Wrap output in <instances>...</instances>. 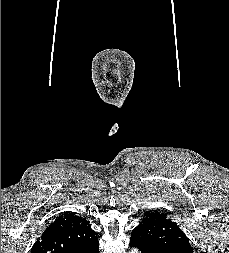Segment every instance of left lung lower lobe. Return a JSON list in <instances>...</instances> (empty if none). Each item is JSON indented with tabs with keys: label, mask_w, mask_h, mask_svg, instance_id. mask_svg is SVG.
I'll return each instance as SVG.
<instances>
[{
	"label": "left lung lower lobe",
	"mask_w": 229,
	"mask_h": 253,
	"mask_svg": "<svg viewBox=\"0 0 229 253\" xmlns=\"http://www.w3.org/2000/svg\"><path fill=\"white\" fill-rule=\"evenodd\" d=\"M130 246L131 247H137V248H139L136 244H134L133 242H131L130 241ZM140 249V248H139ZM140 251H141V253H151V252H147V251H145V250H143V249H140Z\"/></svg>",
	"instance_id": "1"
}]
</instances>
